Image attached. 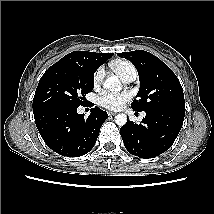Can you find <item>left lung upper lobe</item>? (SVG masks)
Instances as JSON below:
<instances>
[{"label":"left lung upper lobe","mask_w":214,"mask_h":214,"mask_svg":"<svg viewBox=\"0 0 214 214\" xmlns=\"http://www.w3.org/2000/svg\"><path fill=\"white\" fill-rule=\"evenodd\" d=\"M136 67L140 89L131 107L135 111L174 109L185 111L184 94L177 76L158 57L144 50L117 53Z\"/></svg>","instance_id":"obj_1"}]
</instances>
